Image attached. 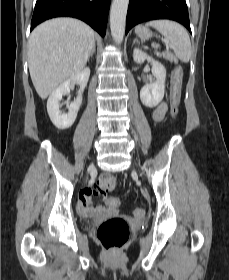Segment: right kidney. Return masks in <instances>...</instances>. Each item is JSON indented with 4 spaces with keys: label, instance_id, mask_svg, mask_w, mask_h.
Masks as SVG:
<instances>
[{
    "label": "right kidney",
    "instance_id": "1",
    "mask_svg": "<svg viewBox=\"0 0 229 280\" xmlns=\"http://www.w3.org/2000/svg\"><path fill=\"white\" fill-rule=\"evenodd\" d=\"M90 76V69L84 68L82 71L72 76L70 79L60 84L49 96L47 101V112L52 123L61 130L70 128L76 120L78 110L82 103V94L87 86ZM76 82L80 89L76 100L68 107V113L62 114L59 108V101L62 96L70 91L71 82Z\"/></svg>",
    "mask_w": 229,
    "mask_h": 280
}]
</instances>
